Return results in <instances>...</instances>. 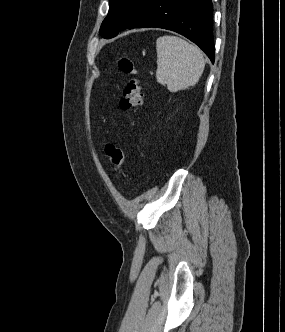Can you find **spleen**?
<instances>
[{
	"instance_id": "3e777b00",
	"label": "spleen",
	"mask_w": 285,
	"mask_h": 332,
	"mask_svg": "<svg viewBox=\"0 0 285 332\" xmlns=\"http://www.w3.org/2000/svg\"><path fill=\"white\" fill-rule=\"evenodd\" d=\"M156 50V79L159 84H166L170 92H177L198 83L205 59L195 45L180 37L165 35L157 39Z\"/></svg>"
}]
</instances>
